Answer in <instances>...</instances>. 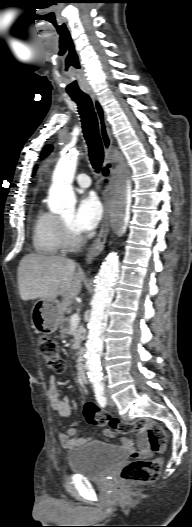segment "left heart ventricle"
Listing matches in <instances>:
<instances>
[{
    "mask_svg": "<svg viewBox=\"0 0 192 527\" xmlns=\"http://www.w3.org/2000/svg\"><path fill=\"white\" fill-rule=\"evenodd\" d=\"M73 217V213L72 212H69L67 214H65L64 216H62V219L66 222V224L72 229L71 227V219ZM73 230V229H72ZM74 231V230H73ZM75 232V231H74Z\"/></svg>",
    "mask_w": 192,
    "mask_h": 527,
    "instance_id": "b2bd125f",
    "label": "left heart ventricle"
}]
</instances>
